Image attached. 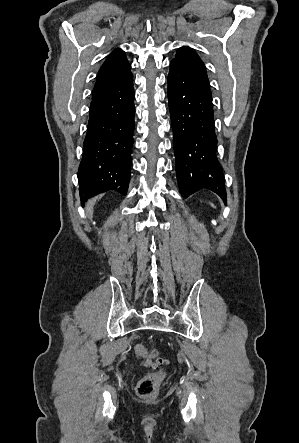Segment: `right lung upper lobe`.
<instances>
[{
  "mask_svg": "<svg viewBox=\"0 0 299 443\" xmlns=\"http://www.w3.org/2000/svg\"><path fill=\"white\" fill-rule=\"evenodd\" d=\"M130 69L131 66L126 59L125 52L121 49H115L107 57L98 72L92 98L109 89L130 74Z\"/></svg>",
  "mask_w": 299,
  "mask_h": 443,
  "instance_id": "cb5924a9",
  "label": "right lung upper lobe"
}]
</instances>
